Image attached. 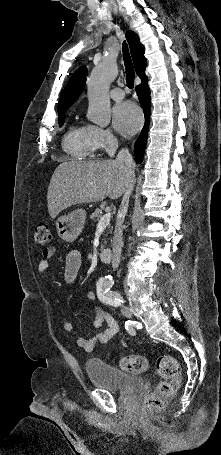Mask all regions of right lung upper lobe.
I'll return each mask as SVG.
<instances>
[{"mask_svg":"<svg viewBox=\"0 0 221 455\" xmlns=\"http://www.w3.org/2000/svg\"><path fill=\"white\" fill-rule=\"evenodd\" d=\"M126 39L130 46L131 55L135 65L136 73L142 78L145 75L146 58L144 57V46L140 43L139 37L133 31L126 32ZM87 76L86 67H80L74 72L68 84L63 90L58 102V110L68 109L79 97L85 87Z\"/></svg>","mask_w":221,"mask_h":455,"instance_id":"cb5924a9","label":"right lung upper lobe"}]
</instances>
